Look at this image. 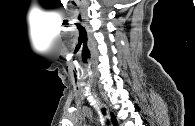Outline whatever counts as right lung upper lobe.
Here are the masks:
<instances>
[{
    "instance_id": "obj_1",
    "label": "right lung upper lobe",
    "mask_w": 195,
    "mask_h": 126,
    "mask_svg": "<svg viewBox=\"0 0 195 126\" xmlns=\"http://www.w3.org/2000/svg\"><path fill=\"white\" fill-rule=\"evenodd\" d=\"M111 119H112L113 125L116 126L117 125V120H116V118H115L113 113L111 114Z\"/></svg>"
}]
</instances>
